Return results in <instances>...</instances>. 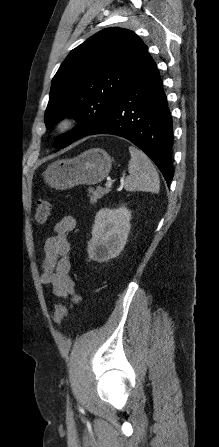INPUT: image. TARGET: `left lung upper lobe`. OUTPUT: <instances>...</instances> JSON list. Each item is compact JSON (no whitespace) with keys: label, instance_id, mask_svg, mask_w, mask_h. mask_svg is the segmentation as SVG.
Here are the masks:
<instances>
[{"label":"left lung upper lobe","instance_id":"left-lung-upper-lobe-1","mask_svg":"<svg viewBox=\"0 0 219 447\" xmlns=\"http://www.w3.org/2000/svg\"><path fill=\"white\" fill-rule=\"evenodd\" d=\"M147 46L132 31L108 28L71 51L52 80L45 123L51 128L69 115L79 126L60 136L65 147L86 136L135 75Z\"/></svg>","mask_w":219,"mask_h":447}]
</instances>
